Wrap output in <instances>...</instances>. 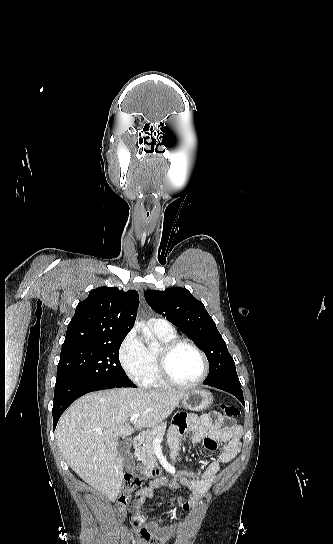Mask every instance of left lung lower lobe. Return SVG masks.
Masks as SVG:
<instances>
[{"label":"left lung lower lobe","mask_w":333,"mask_h":544,"mask_svg":"<svg viewBox=\"0 0 333 544\" xmlns=\"http://www.w3.org/2000/svg\"><path fill=\"white\" fill-rule=\"evenodd\" d=\"M203 384L224 390L234 395L244 405V398H243V392L241 389V384L232 383V382H219V383H211V384L203 383Z\"/></svg>","instance_id":"1"}]
</instances>
